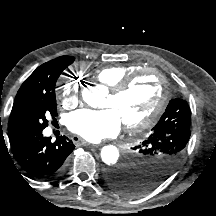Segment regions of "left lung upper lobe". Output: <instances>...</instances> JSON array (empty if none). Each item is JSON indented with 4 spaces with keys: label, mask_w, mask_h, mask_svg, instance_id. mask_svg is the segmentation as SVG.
<instances>
[{
    "label": "left lung upper lobe",
    "mask_w": 216,
    "mask_h": 216,
    "mask_svg": "<svg viewBox=\"0 0 216 216\" xmlns=\"http://www.w3.org/2000/svg\"><path fill=\"white\" fill-rule=\"evenodd\" d=\"M190 122L187 102L171 100L152 134L134 148L143 156V164L131 166L135 196L151 190L176 166L190 139Z\"/></svg>",
    "instance_id": "left-lung-upper-lobe-1"
}]
</instances>
